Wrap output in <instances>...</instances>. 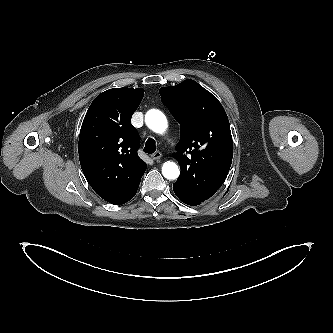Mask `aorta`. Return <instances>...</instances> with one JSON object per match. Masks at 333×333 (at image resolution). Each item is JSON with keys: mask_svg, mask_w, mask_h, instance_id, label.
I'll use <instances>...</instances> for the list:
<instances>
[{"mask_svg": "<svg viewBox=\"0 0 333 333\" xmlns=\"http://www.w3.org/2000/svg\"><path fill=\"white\" fill-rule=\"evenodd\" d=\"M146 125L155 133L163 134L168 126L166 116L159 110L151 109L145 115ZM179 168L174 162L167 161L162 166V174L167 179H176Z\"/></svg>", "mask_w": 333, "mask_h": 333, "instance_id": "762f6f07", "label": "aorta"}]
</instances>
